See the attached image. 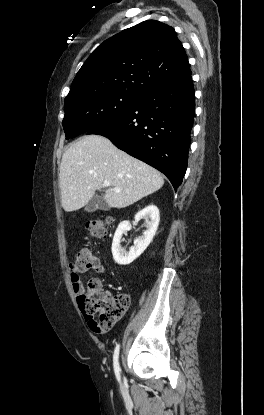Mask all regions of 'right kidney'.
<instances>
[{
  "instance_id": "obj_1",
  "label": "right kidney",
  "mask_w": 264,
  "mask_h": 415,
  "mask_svg": "<svg viewBox=\"0 0 264 415\" xmlns=\"http://www.w3.org/2000/svg\"><path fill=\"white\" fill-rule=\"evenodd\" d=\"M143 218L147 221V229L143 232L142 236L134 240V246L130 248L129 252H126L121 247V238L125 231L131 229V225L129 221H123L118 225L112 242V254L117 264L129 265L137 259L152 242L160 221L159 209L155 205H148L135 215L136 221Z\"/></svg>"
}]
</instances>
